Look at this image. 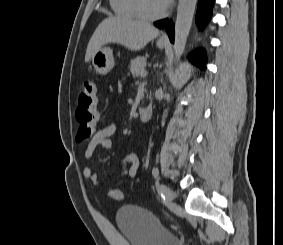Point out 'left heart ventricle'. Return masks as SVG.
Masks as SVG:
<instances>
[{
	"label": "left heart ventricle",
	"instance_id": "obj_1",
	"mask_svg": "<svg viewBox=\"0 0 283 245\" xmlns=\"http://www.w3.org/2000/svg\"><path fill=\"white\" fill-rule=\"evenodd\" d=\"M144 9L151 14L159 13L165 8L163 0H142Z\"/></svg>",
	"mask_w": 283,
	"mask_h": 245
}]
</instances>
